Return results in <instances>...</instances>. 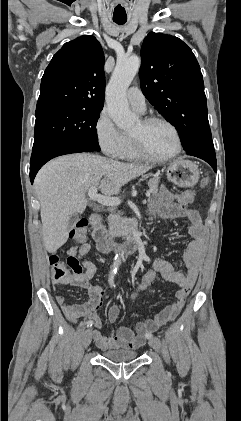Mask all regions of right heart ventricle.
Returning a JSON list of instances; mask_svg holds the SVG:
<instances>
[{
  "label": "right heart ventricle",
  "instance_id": "right-heart-ventricle-1",
  "mask_svg": "<svg viewBox=\"0 0 241 421\" xmlns=\"http://www.w3.org/2000/svg\"><path fill=\"white\" fill-rule=\"evenodd\" d=\"M125 136V143L123 146V149L120 153V156L118 158L124 159V160H138L140 157L135 152L130 135L126 134Z\"/></svg>",
  "mask_w": 241,
  "mask_h": 421
}]
</instances>
